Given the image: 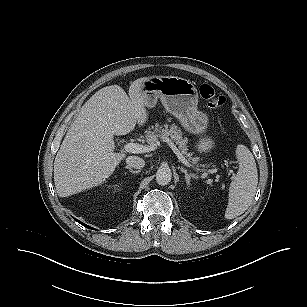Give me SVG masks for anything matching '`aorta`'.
Wrapping results in <instances>:
<instances>
[{
    "instance_id": "762f6f07",
    "label": "aorta",
    "mask_w": 307,
    "mask_h": 307,
    "mask_svg": "<svg viewBox=\"0 0 307 307\" xmlns=\"http://www.w3.org/2000/svg\"><path fill=\"white\" fill-rule=\"evenodd\" d=\"M172 173L169 167L161 166L156 172V181L159 185H167L171 181Z\"/></svg>"
}]
</instances>
